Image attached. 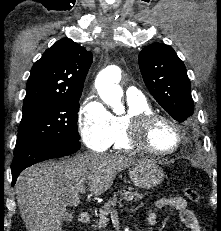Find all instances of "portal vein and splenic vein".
Segmentation results:
<instances>
[{"instance_id": "obj_1", "label": "portal vein and splenic vein", "mask_w": 221, "mask_h": 231, "mask_svg": "<svg viewBox=\"0 0 221 231\" xmlns=\"http://www.w3.org/2000/svg\"><path fill=\"white\" fill-rule=\"evenodd\" d=\"M85 190H86V187H85V186H83V187H81V188L79 189V192H80V193H84V192H85Z\"/></svg>"}]
</instances>
